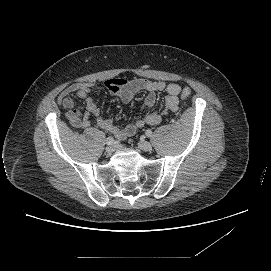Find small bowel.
Wrapping results in <instances>:
<instances>
[{"instance_id": "small-bowel-1", "label": "small bowel", "mask_w": 271, "mask_h": 271, "mask_svg": "<svg viewBox=\"0 0 271 271\" xmlns=\"http://www.w3.org/2000/svg\"><path fill=\"white\" fill-rule=\"evenodd\" d=\"M92 86L89 82L71 84L57 98V102L66 110L65 115L67 120L75 128H87L90 125V118L96 117L97 125L100 128L111 132L118 139H123L134 135L139 129L145 126L159 124L164 116L175 113L179 109L178 96L181 93V87L178 84L146 79H109L105 82L106 88L111 94L118 96L124 103L131 101L137 93H146L143 104L144 115L121 128L114 124L112 118L100 117V109L90 97ZM158 92H165L166 96L161 110L159 112H151L156 102V93ZM71 95H76L85 101L86 110L84 113L74 108V100Z\"/></svg>"}]
</instances>
